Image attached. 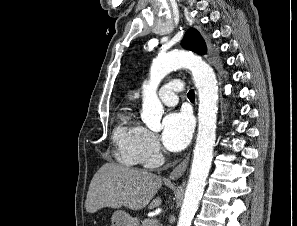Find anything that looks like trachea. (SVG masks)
Instances as JSON below:
<instances>
[{
	"mask_svg": "<svg viewBox=\"0 0 297 226\" xmlns=\"http://www.w3.org/2000/svg\"><path fill=\"white\" fill-rule=\"evenodd\" d=\"M188 98L190 101H194L195 100V93H194V90H190L188 92Z\"/></svg>",
	"mask_w": 297,
	"mask_h": 226,
	"instance_id": "1",
	"label": "trachea"
}]
</instances>
